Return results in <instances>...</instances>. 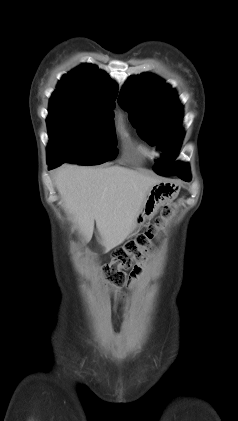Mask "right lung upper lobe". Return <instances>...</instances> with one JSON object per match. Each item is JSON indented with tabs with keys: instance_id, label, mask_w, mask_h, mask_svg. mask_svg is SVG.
<instances>
[{
	"instance_id": "right-lung-upper-lobe-1",
	"label": "right lung upper lobe",
	"mask_w": 238,
	"mask_h": 421,
	"mask_svg": "<svg viewBox=\"0 0 238 421\" xmlns=\"http://www.w3.org/2000/svg\"><path fill=\"white\" fill-rule=\"evenodd\" d=\"M117 93L118 86L108 74L95 65L82 64L61 78L52 96L115 105Z\"/></svg>"
}]
</instances>
